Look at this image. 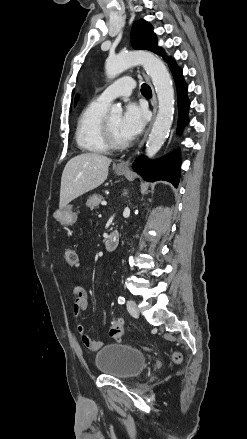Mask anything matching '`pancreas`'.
<instances>
[{"label": "pancreas", "instance_id": "obj_1", "mask_svg": "<svg viewBox=\"0 0 247 439\" xmlns=\"http://www.w3.org/2000/svg\"><path fill=\"white\" fill-rule=\"evenodd\" d=\"M103 196L99 194H94L89 197V199L86 202V206L90 209L97 208L99 204L102 202Z\"/></svg>", "mask_w": 247, "mask_h": 439}]
</instances>
